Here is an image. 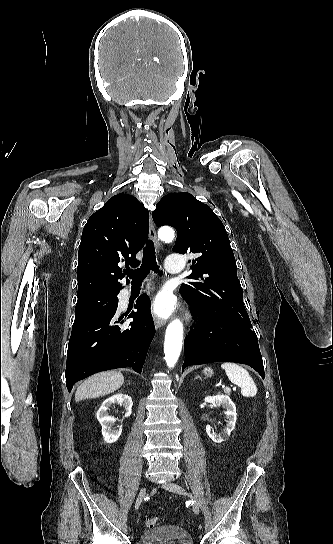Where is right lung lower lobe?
I'll use <instances>...</instances> for the list:
<instances>
[{"label":"right lung lower lobe","mask_w":333,"mask_h":544,"mask_svg":"<svg viewBox=\"0 0 333 544\" xmlns=\"http://www.w3.org/2000/svg\"><path fill=\"white\" fill-rule=\"evenodd\" d=\"M133 321L125 325L117 308L72 328L66 364V385H73L94 373L131 367L141 373L148 348L155 334L150 299L142 294L136 301Z\"/></svg>","instance_id":"1"}]
</instances>
